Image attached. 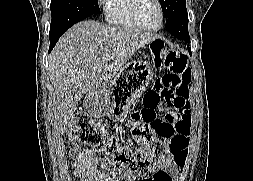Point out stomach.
<instances>
[{"label":"stomach","mask_w":253,"mask_h":181,"mask_svg":"<svg viewBox=\"0 0 253 181\" xmlns=\"http://www.w3.org/2000/svg\"><path fill=\"white\" fill-rule=\"evenodd\" d=\"M146 60L126 64L105 87L87 93L84 106L93 117L108 116L118 121L128 114L144 91L150 72Z\"/></svg>","instance_id":"0dacf381"}]
</instances>
